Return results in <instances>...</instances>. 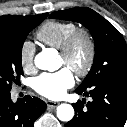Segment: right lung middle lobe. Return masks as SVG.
<instances>
[{"instance_id":"1","label":"right lung middle lobe","mask_w":127,"mask_h":127,"mask_svg":"<svg viewBox=\"0 0 127 127\" xmlns=\"http://www.w3.org/2000/svg\"><path fill=\"white\" fill-rule=\"evenodd\" d=\"M40 14L35 18L12 27H0V93L10 92L23 75L21 52L29 34L44 19Z\"/></svg>"}]
</instances>
